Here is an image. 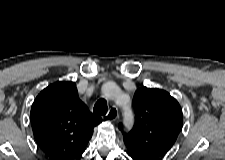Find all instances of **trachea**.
Returning a JSON list of instances; mask_svg holds the SVG:
<instances>
[{
	"label": "trachea",
	"mask_w": 225,
	"mask_h": 160,
	"mask_svg": "<svg viewBox=\"0 0 225 160\" xmlns=\"http://www.w3.org/2000/svg\"><path fill=\"white\" fill-rule=\"evenodd\" d=\"M108 107L105 99H99L94 105L93 112L97 115H105Z\"/></svg>",
	"instance_id": "1"
}]
</instances>
